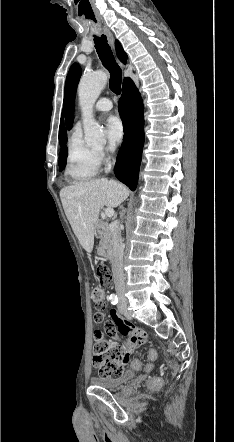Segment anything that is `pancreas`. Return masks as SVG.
Wrapping results in <instances>:
<instances>
[{
    "mask_svg": "<svg viewBox=\"0 0 234 442\" xmlns=\"http://www.w3.org/2000/svg\"><path fill=\"white\" fill-rule=\"evenodd\" d=\"M110 250H111V233L109 231L108 224L103 223L101 241L99 244L98 252L103 256H107Z\"/></svg>",
    "mask_w": 234,
    "mask_h": 442,
    "instance_id": "cf45deb5",
    "label": "pancreas"
}]
</instances>
